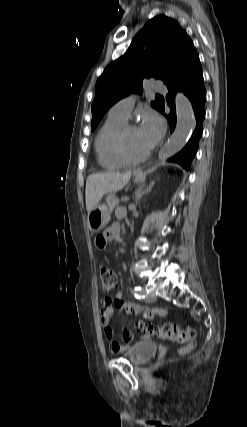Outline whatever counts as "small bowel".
I'll return each mask as SVG.
<instances>
[{
	"mask_svg": "<svg viewBox=\"0 0 247 427\" xmlns=\"http://www.w3.org/2000/svg\"><path fill=\"white\" fill-rule=\"evenodd\" d=\"M122 214V211L117 212L118 216H121ZM119 238L120 227L118 224H114L108 229H106L102 235L96 238V245L98 248L102 249L105 247L107 241L114 239L118 240ZM114 309H116L119 313H127L130 315H137L142 313L147 319H152L155 317V315L163 317L167 313L165 309H149L147 307L125 301L121 292H118L114 299L106 298L104 300V305L101 309V324L104 335L109 341L110 349L113 352L124 351L133 339V334L128 326H125L123 328V343L114 339V331L110 325V318L113 314ZM144 338L146 339L148 338V336L145 335Z\"/></svg>",
	"mask_w": 247,
	"mask_h": 427,
	"instance_id": "1",
	"label": "small bowel"
}]
</instances>
